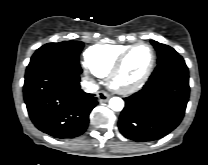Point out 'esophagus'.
<instances>
[{
    "label": "esophagus",
    "instance_id": "obj_1",
    "mask_svg": "<svg viewBox=\"0 0 208 165\" xmlns=\"http://www.w3.org/2000/svg\"><path fill=\"white\" fill-rule=\"evenodd\" d=\"M97 97L99 98L100 102H107L109 100V98H110L109 94H107L104 91H99L97 93Z\"/></svg>",
    "mask_w": 208,
    "mask_h": 165
}]
</instances>
